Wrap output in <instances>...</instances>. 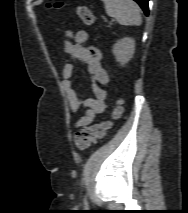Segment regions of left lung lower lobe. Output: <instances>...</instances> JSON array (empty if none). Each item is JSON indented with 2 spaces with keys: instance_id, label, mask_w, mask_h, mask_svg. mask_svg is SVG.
<instances>
[{
  "instance_id": "0a47b994",
  "label": "left lung lower lobe",
  "mask_w": 188,
  "mask_h": 213,
  "mask_svg": "<svg viewBox=\"0 0 188 213\" xmlns=\"http://www.w3.org/2000/svg\"><path fill=\"white\" fill-rule=\"evenodd\" d=\"M136 1L141 8L144 10L145 14L148 15V1L149 0H134Z\"/></svg>"
}]
</instances>
